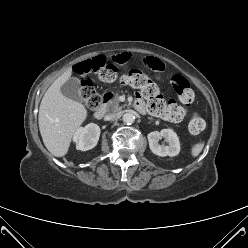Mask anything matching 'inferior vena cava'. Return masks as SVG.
<instances>
[{
	"label": "inferior vena cava",
	"instance_id": "1",
	"mask_svg": "<svg viewBox=\"0 0 248 248\" xmlns=\"http://www.w3.org/2000/svg\"><path fill=\"white\" fill-rule=\"evenodd\" d=\"M118 117V114L116 113H111V114H107L105 117H104V120L106 121H109V120H114Z\"/></svg>",
	"mask_w": 248,
	"mask_h": 248
}]
</instances>
